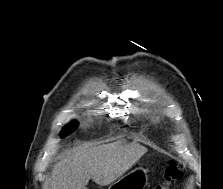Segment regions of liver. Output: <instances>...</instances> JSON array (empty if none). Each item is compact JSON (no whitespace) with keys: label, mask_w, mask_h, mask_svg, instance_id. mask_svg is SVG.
Wrapping results in <instances>:
<instances>
[{"label":"liver","mask_w":223,"mask_h":189,"mask_svg":"<svg viewBox=\"0 0 223 189\" xmlns=\"http://www.w3.org/2000/svg\"><path fill=\"white\" fill-rule=\"evenodd\" d=\"M146 152L147 149L138 144L122 145L120 142L81 147L54 165L44 189H87L90 179L100 186H107Z\"/></svg>","instance_id":"1"}]
</instances>
